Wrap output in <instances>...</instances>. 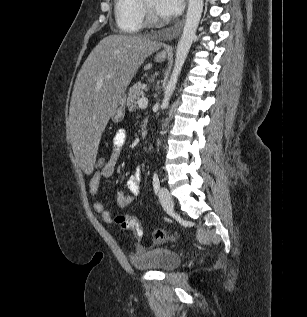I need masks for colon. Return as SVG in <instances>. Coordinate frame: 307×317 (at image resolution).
Returning <instances> with one entry per match:
<instances>
[{
    "instance_id": "5ec220e1",
    "label": "colon",
    "mask_w": 307,
    "mask_h": 317,
    "mask_svg": "<svg viewBox=\"0 0 307 317\" xmlns=\"http://www.w3.org/2000/svg\"><path fill=\"white\" fill-rule=\"evenodd\" d=\"M108 160L105 157L99 155L95 161V169L101 170ZM116 223H118L122 228L131 230L133 234L137 237H140L142 234L141 226L139 222L132 216L129 215H119L115 218ZM176 238L175 234H168L163 230H157L154 234V239L157 242H164L174 240Z\"/></svg>"
}]
</instances>
